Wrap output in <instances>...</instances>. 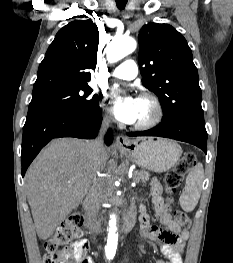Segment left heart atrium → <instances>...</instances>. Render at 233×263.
<instances>
[{
    "label": "left heart atrium",
    "instance_id": "obj_1",
    "mask_svg": "<svg viewBox=\"0 0 233 263\" xmlns=\"http://www.w3.org/2000/svg\"><path fill=\"white\" fill-rule=\"evenodd\" d=\"M111 100V110L119 121L126 124L136 123L140 111L139 97L115 88L111 93Z\"/></svg>",
    "mask_w": 233,
    "mask_h": 263
}]
</instances>
